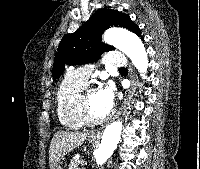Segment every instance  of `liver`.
Segmentation results:
<instances>
[{"instance_id": "1", "label": "liver", "mask_w": 200, "mask_h": 169, "mask_svg": "<svg viewBox=\"0 0 200 169\" xmlns=\"http://www.w3.org/2000/svg\"><path fill=\"white\" fill-rule=\"evenodd\" d=\"M87 136L88 133L77 131H59L55 133L49 148L50 168L56 167L66 154L81 146Z\"/></svg>"}]
</instances>
